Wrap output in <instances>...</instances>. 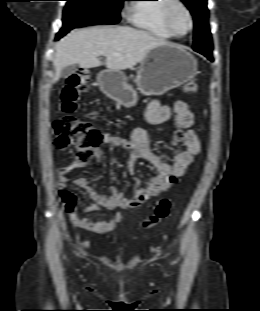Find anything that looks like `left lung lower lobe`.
I'll return each instance as SVG.
<instances>
[{
    "label": "left lung lower lobe",
    "instance_id": "1",
    "mask_svg": "<svg viewBox=\"0 0 260 311\" xmlns=\"http://www.w3.org/2000/svg\"><path fill=\"white\" fill-rule=\"evenodd\" d=\"M203 55H205L209 60L213 61L212 52L207 50H195Z\"/></svg>",
    "mask_w": 260,
    "mask_h": 311
}]
</instances>
